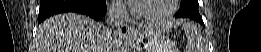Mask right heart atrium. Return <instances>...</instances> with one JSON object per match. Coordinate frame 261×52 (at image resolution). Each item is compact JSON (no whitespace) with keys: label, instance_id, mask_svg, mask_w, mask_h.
I'll list each match as a JSON object with an SVG mask.
<instances>
[{"label":"right heart atrium","instance_id":"right-heart-atrium-1","mask_svg":"<svg viewBox=\"0 0 261 52\" xmlns=\"http://www.w3.org/2000/svg\"><path fill=\"white\" fill-rule=\"evenodd\" d=\"M111 12L115 17H124L126 15L125 7L119 3L113 5Z\"/></svg>","mask_w":261,"mask_h":52}]
</instances>
